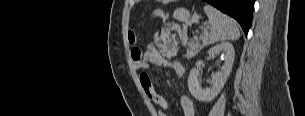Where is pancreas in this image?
Segmentation results:
<instances>
[{
	"instance_id": "1",
	"label": "pancreas",
	"mask_w": 305,
	"mask_h": 116,
	"mask_svg": "<svg viewBox=\"0 0 305 116\" xmlns=\"http://www.w3.org/2000/svg\"><path fill=\"white\" fill-rule=\"evenodd\" d=\"M187 54L186 57L188 59L194 57L195 55H197V53L203 48V45L201 43H199L198 40H194L191 41L187 44Z\"/></svg>"
}]
</instances>
